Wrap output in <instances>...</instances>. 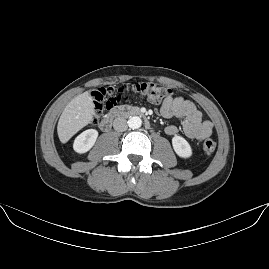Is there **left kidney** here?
Here are the masks:
<instances>
[{
	"label": "left kidney",
	"instance_id": "obj_1",
	"mask_svg": "<svg viewBox=\"0 0 269 269\" xmlns=\"http://www.w3.org/2000/svg\"><path fill=\"white\" fill-rule=\"evenodd\" d=\"M172 145L180 157L188 158L192 155V149L189 143L181 136H174L172 138Z\"/></svg>",
	"mask_w": 269,
	"mask_h": 269
}]
</instances>
